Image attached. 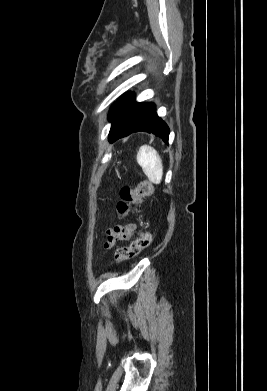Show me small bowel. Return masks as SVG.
I'll return each instance as SVG.
<instances>
[{"label": "small bowel", "instance_id": "c3829d8e", "mask_svg": "<svg viewBox=\"0 0 267 391\" xmlns=\"http://www.w3.org/2000/svg\"><path fill=\"white\" fill-rule=\"evenodd\" d=\"M136 230L135 224L118 225L111 227L106 232V242L104 247L112 249L116 242L127 241Z\"/></svg>", "mask_w": 267, "mask_h": 391}]
</instances>
